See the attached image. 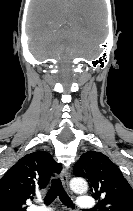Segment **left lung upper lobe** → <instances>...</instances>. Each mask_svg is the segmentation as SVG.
<instances>
[{"label": "left lung upper lobe", "mask_w": 133, "mask_h": 211, "mask_svg": "<svg viewBox=\"0 0 133 211\" xmlns=\"http://www.w3.org/2000/svg\"><path fill=\"white\" fill-rule=\"evenodd\" d=\"M74 174L88 180L92 196L99 199V211H133V190L120 169L104 154L84 153L75 164Z\"/></svg>", "instance_id": "1"}]
</instances>
